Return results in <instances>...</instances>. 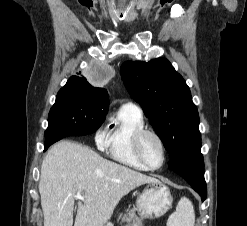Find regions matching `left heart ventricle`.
<instances>
[{
    "label": "left heart ventricle",
    "mask_w": 247,
    "mask_h": 226,
    "mask_svg": "<svg viewBox=\"0 0 247 226\" xmlns=\"http://www.w3.org/2000/svg\"><path fill=\"white\" fill-rule=\"evenodd\" d=\"M141 151L151 166H158L162 161V150L159 142L152 135H146L141 141Z\"/></svg>",
    "instance_id": "1"
}]
</instances>
